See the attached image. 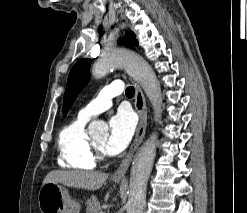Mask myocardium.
I'll return each instance as SVG.
<instances>
[{
	"mask_svg": "<svg viewBox=\"0 0 247 213\" xmlns=\"http://www.w3.org/2000/svg\"><path fill=\"white\" fill-rule=\"evenodd\" d=\"M90 148H91V152L95 158L96 161H101V160H105L107 158V153L100 148L99 146H97L93 140L90 139Z\"/></svg>",
	"mask_w": 247,
	"mask_h": 213,
	"instance_id": "obj_1",
	"label": "myocardium"
}]
</instances>
